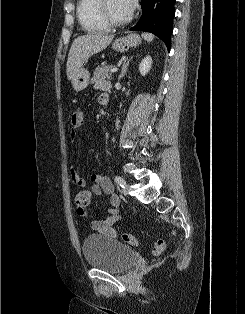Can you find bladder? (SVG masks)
<instances>
[{
	"instance_id": "obj_1",
	"label": "bladder",
	"mask_w": 245,
	"mask_h": 314,
	"mask_svg": "<svg viewBox=\"0 0 245 314\" xmlns=\"http://www.w3.org/2000/svg\"><path fill=\"white\" fill-rule=\"evenodd\" d=\"M82 251L88 265L112 273L124 272L137 259L133 249L104 235H88Z\"/></svg>"
}]
</instances>
